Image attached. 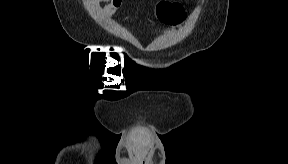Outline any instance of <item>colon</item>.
<instances>
[{
  "label": "colon",
  "instance_id": "5ec220e1",
  "mask_svg": "<svg viewBox=\"0 0 288 164\" xmlns=\"http://www.w3.org/2000/svg\"><path fill=\"white\" fill-rule=\"evenodd\" d=\"M160 20L167 25H179L184 22L183 9L176 4L162 3L158 9Z\"/></svg>",
  "mask_w": 288,
  "mask_h": 164
}]
</instances>
